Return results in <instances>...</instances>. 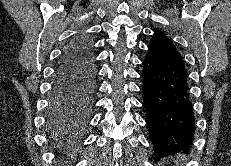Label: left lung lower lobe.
I'll return each mask as SVG.
<instances>
[{
    "instance_id": "0a47b994",
    "label": "left lung lower lobe",
    "mask_w": 231,
    "mask_h": 166,
    "mask_svg": "<svg viewBox=\"0 0 231 166\" xmlns=\"http://www.w3.org/2000/svg\"><path fill=\"white\" fill-rule=\"evenodd\" d=\"M143 60V106L154 152L186 150L195 132L187 73L180 53L161 31L155 30Z\"/></svg>"
}]
</instances>
